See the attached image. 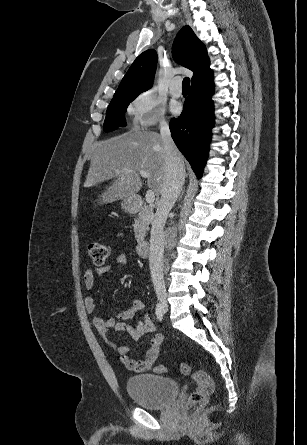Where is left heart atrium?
I'll return each instance as SVG.
<instances>
[{"mask_svg": "<svg viewBox=\"0 0 307 445\" xmlns=\"http://www.w3.org/2000/svg\"><path fill=\"white\" fill-rule=\"evenodd\" d=\"M172 110H173L174 113L177 114V113L179 112L180 108H179L178 105H173V106H172Z\"/></svg>", "mask_w": 307, "mask_h": 445, "instance_id": "1", "label": "left heart atrium"}]
</instances>
